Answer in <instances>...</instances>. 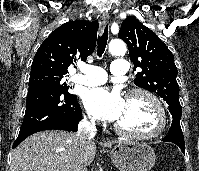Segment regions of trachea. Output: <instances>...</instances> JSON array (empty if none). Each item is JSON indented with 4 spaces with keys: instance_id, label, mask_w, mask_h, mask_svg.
<instances>
[{
    "instance_id": "3493384b",
    "label": "trachea",
    "mask_w": 199,
    "mask_h": 171,
    "mask_svg": "<svg viewBox=\"0 0 199 171\" xmlns=\"http://www.w3.org/2000/svg\"><path fill=\"white\" fill-rule=\"evenodd\" d=\"M108 39V25L105 26L104 31L98 37V45H97V54L99 57H102Z\"/></svg>"
}]
</instances>
